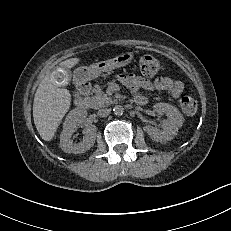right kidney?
Here are the masks:
<instances>
[{
  "label": "right kidney",
  "mask_w": 231,
  "mask_h": 231,
  "mask_svg": "<svg viewBox=\"0 0 231 231\" xmlns=\"http://www.w3.org/2000/svg\"><path fill=\"white\" fill-rule=\"evenodd\" d=\"M87 116L83 110L74 109L66 117L63 131L60 136V147L66 153L81 154L89 150L95 143L97 128L88 125L83 129V140L74 144L71 140L72 134L77 130V125L82 124Z\"/></svg>",
  "instance_id": "1"
}]
</instances>
